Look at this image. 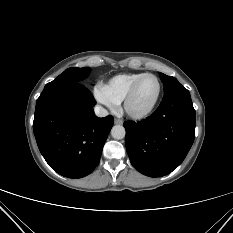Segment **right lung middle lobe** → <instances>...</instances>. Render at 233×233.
I'll list each match as a JSON object with an SVG mask.
<instances>
[{"label":"right lung middle lobe","mask_w":233,"mask_h":233,"mask_svg":"<svg viewBox=\"0 0 233 233\" xmlns=\"http://www.w3.org/2000/svg\"><path fill=\"white\" fill-rule=\"evenodd\" d=\"M91 69L89 67L84 68H68L56 79L46 84V86H56L67 83H79L88 77ZM45 86V87H46Z\"/></svg>","instance_id":"right-lung-middle-lobe-1"}]
</instances>
